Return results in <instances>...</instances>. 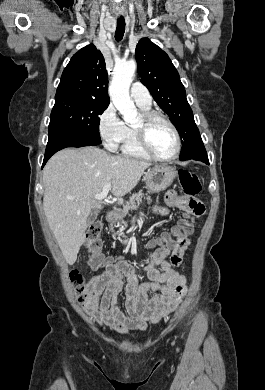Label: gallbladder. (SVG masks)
Listing matches in <instances>:
<instances>
[{
  "label": "gallbladder",
  "mask_w": 265,
  "mask_h": 390,
  "mask_svg": "<svg viewBox=\"0 0 265 390\" xmlns=\"http://www.w3.org/2000/svg\"><path fill=\"white\" fill-rule=\"evenodd\" d=\"M97 215L98 214H97L96 211L91 212V214L89 215L88 220H87V225L88 226L95 222V220L97 218Z\"/></svg>",
  "instance_id": "bac80fb5"
}]
</instances>
